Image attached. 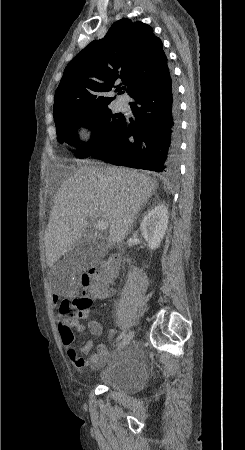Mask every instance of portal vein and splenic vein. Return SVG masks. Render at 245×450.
I'll use <instances>...</instances> for the list:
<instances>
[{
  "mask_svg": "<svg viewBox=\"0 0 245 450\" xmlns=\"http://www.w3.org/2000/svg\"><path fill=\"white\" fill-rule=\"evenodd\" d=\"M109 224L105 220H99L95 223V228L97 230H106L108 228Z\"/></svg>",
  "mask_w": 245,
  "mask_h": 450,
  "instance_id": "1",
  "label": "portal vein and splenic vein"
}]
</instances>
